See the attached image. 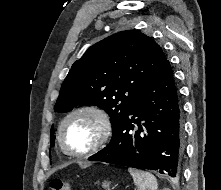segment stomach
I'll return each instance as SVG.
<instances>
[{"label": "stomach", "mask_w": 221, "mask_h": 190, "mask_svg": "<svg viewBox=\"0 0 221 190\" xmlns=\"http://www.w3.org/2000/svg\"><path fill=\"white\" fill-rule=\"evenodd\" d=\"M102 186H103L104 188H106L107 190H109L108 188H109V186H110V182H109V181H104L103 184H102Z\"/></svg>", "instance_id": "stomach-1"}]
</instances>
